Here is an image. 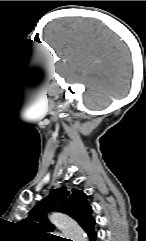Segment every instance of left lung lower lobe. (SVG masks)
Returning a JSON list of instances; mask_svg holds the SVG:
<instances>
[{"instance_id": "1", "label": "left lung lower lobe", "mask_w": 146, "mask_h": 241, "mask_svg": "<svg viewBox=\"0 0 146 241\" xmlns=\"http://www.w3.org/2000/svg\"><path fill=\"white\" fill-rule=\"evenodd\" d=\"M95 220L87 223L83 229L86 231L87 235L90 238V241H94L96 239V232L94 231Z\"/></svg>"}]
</instances>
